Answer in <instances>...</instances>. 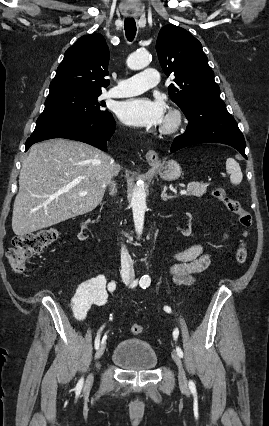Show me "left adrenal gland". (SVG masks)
Here are the masks:
<instances>
[{
	"label": "left adrenal gland",
	"mask_w": 269,
	"mask_h": 426,
	"mask_svg": "<svg viewBox=\"0 0 269 426\" xmlns=\"http://www.w3.org/2000/svg\"><path fill=\"white\" fill-rule=\"evenodd\" d=\"M166 191H167V186H164V187H163V191H162V193H161V199H162L163 201H167V200H169V199H173V198H174V196L168 195V194L166 193Z\"/></svg>",
	"instance_id": "a2214340"
}]
</instances>
